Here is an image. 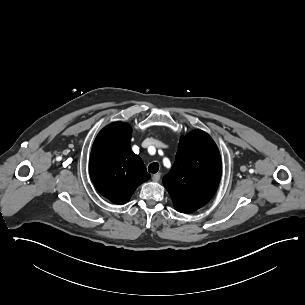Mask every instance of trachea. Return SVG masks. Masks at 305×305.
<instances>
[{
	"label": "trachea",
	"mask_w": 305,
	"mask_h": 305,
	"mask_svg": "<svg viewBox=\"0 0 305 305\" xmlns=\"http://www.w3.org/2000/svg\"><path fill=\"white\" fill-rule=\"evenodd\" d=\"M159 170V164L157 162H153L149 165L148 171L150 173H157Z\"/></svg>",
	"instance_id": "3493384b"
}]
</instances>
